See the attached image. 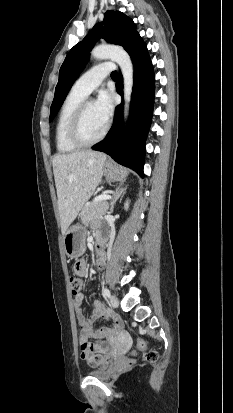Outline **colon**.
I'll use <instances>...</instances> for the list:
<instances>
[{
    "label": "colon",
    "instance_id": "5ec220e1",
    "mask_svg": "<svg viewBox=\"0 0 233 413\" xmlns=\"http://www.w3.org/2000/svg\"><path fill=\"white\" fill-rule=\"evenodd\" d=\"M70 284H71V289H72V292L75 294V293H79L82 289H83V287H84V281H83V279L82 278H80L79 276H72L71 278H70ZM137 348H138V350L139 351H142V352H144V354H145V358L148 360V361H155L156 359H157V357H158V354H157V352L156 351H154V350H146V344H145V342L143 341V340H139L138 342H137Z\"/></svg>",
    "mask_w": 233,
    "mask_h": 413
}]
</instances>
